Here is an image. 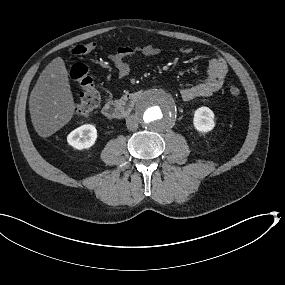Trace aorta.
<instances>
[{"label":"aorta","instance_id":"aorta-1","mask_svg":"<svg viewBox=\"0 0 285 285\" xmlns=\"http://www.w3.org/2000/svg\"><path fill=\"white\" fill-rule=\"evenodd\" d=\"M137 114L141 124L145 128L160 132L170 128L174 124L178 109L174 99L170 95L155 91L145 95L141 99Z\"/></svg>","mask_w":285,"mask_h":285}]
</instances>
